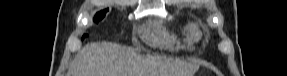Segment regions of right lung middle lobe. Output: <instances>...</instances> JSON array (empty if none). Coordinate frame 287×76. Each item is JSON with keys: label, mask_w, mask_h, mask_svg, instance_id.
Segmentation results:
<instances>
[{"label": "right lung middle lobe", "mask_w": 287, "mask_h": 76, "mask_svg": "<svg viewBox=\"0 0 287 76\" xmlns=\"http://www.w3.org/2000/svg\"><path fill=\"white\" fill-rule=\"evenodd\" d=\"M107 11H108V9L99 11L94 17V22L98 23L100 20H102L105 17V14ZM86 36H87V34H84L82 39H84Z\"/></svg>", "instance_id": "obj_1"}]
</instances>
